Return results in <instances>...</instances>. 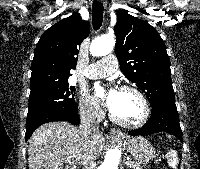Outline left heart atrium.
I'll use <instances>...</instances> for the list:
<instances>
[{"label": "left heart atrium", "mask_w": 200, "mask_h": 169, "mask_svg": "<svg viewBox=\"0 0 200 169\" xmlns=\"http://www.w3.org/2000/svg\"><path fill=\"white\" fill-rule=\"evenodd\" d=\"M95 92H96L97 97L101 99L111 111L115 104L118 91L113 88L105 89L101 86H97L95 88Z\"/></svg>", "instance_id": "39dd6f15"}]
</instances>
